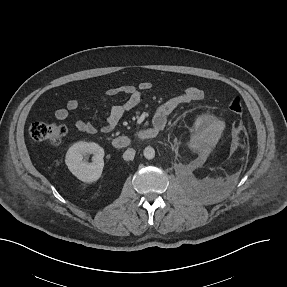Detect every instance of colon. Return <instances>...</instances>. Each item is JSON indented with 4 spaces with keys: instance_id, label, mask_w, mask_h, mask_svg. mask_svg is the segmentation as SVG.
<instances>
[{
    "instance_id": "colon-1",
    "label": "colon",
    "mask_w": 287,
    "mask_h": 287,
    "mask_svg": "<svg viewBox=\"0 0 287 287\" xmlns=\"http://www.w3.org/2000/svg\"><path fill=\"white\" fill-rule=\"evenodd\" d=\"M228 107L234 114H242L244 110L243 102L238 96L230 100ZM66 131L64 125L34 122L30 126L29 133L34 141L56 146L61 143Z\"/></svg>"
}]
</instances>
